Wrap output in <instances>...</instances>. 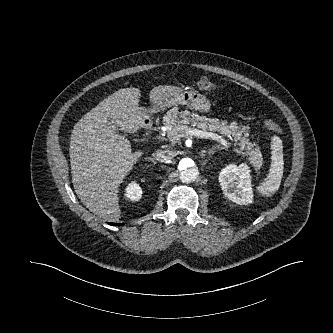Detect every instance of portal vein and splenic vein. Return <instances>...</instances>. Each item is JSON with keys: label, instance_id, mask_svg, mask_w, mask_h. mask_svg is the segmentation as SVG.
<instances>
[{"label": "portal vein and splenic vein", "instance_id": "1", "mask_svg": "<svg viewBox=\"0 0 333 333\" xmlns=\"http://www.w3.org/2000/svg\"><path fill=\"white\" fill-rule=\"evenodd\" d=\"M187 136H195L197 138H201V139H212V140H216L218 142H220L223 146L225 147H230V143L222 138L221 136L213 133V132H207V131H202L199 130L197 128H191L187 131L186 133Z\"/></svg>", "mask_w": 333, "mask_h": 333}]
</instances>
